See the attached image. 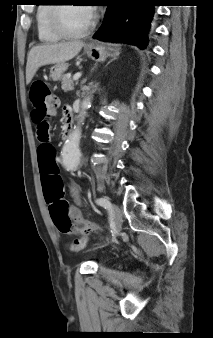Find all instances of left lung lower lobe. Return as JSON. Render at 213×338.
<instances>
[{"label":"left lung lower lobe","mask_w":213,"mask_h":338,"mask_svg":"<svg viewBox=\"0 0 213 338\" xmlns=\"http://www.w3.org/2000/svg\"><path fill=\"white\" fill-rule=\"evenodd\" d=\"M156 0H110L94 39L125 42L145 49L153 25Z\"/></svg>","instance_id":"left-lung-lower-lobe-1"}]
</instances>
